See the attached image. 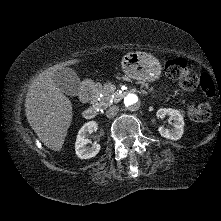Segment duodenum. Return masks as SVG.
<instances>
[{"instance_id":"410a0bca","label":"duodenum","mask_w":221,"mask_h":221,"mask_svg":"<svg viewBox=\"0 0 221 221\" xmlns=\"http://www.w3.org/2000/svg\"><path fill=\"white\" fill-rule=\"evenodd\" d=\"M101 91V85L95 82L84 85L80 91V97L83 101L90 102V105L84 110L85 119H93L98 113L96 98Z\"/></svg>"}]
</instances>
